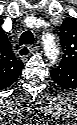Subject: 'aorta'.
<instances>
[{
  "instance_id": "obj_1",
  "label": "aorta",
  "mask_w": 77,
  "mask_h": 125,
  "mask_svg": "<svg viewBox=\"0 0 77 125\" xmlns=\"http://www.w3.org/2000/svg\"><path fill=\"white\" fill-rule=\"evenodd\" d=\"M44 49L46 56L51 60V62L55 63L58 60L59 51L56 47L54 38H49L44 41Z\"/></svg>"
}]
</instances>
